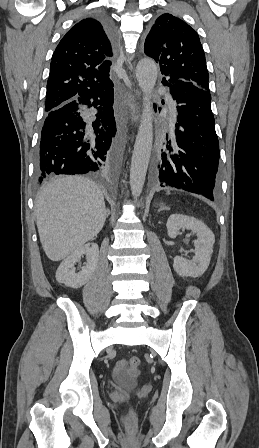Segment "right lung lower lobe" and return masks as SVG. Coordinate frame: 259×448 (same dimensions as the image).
<instances>
[{"label": "right lung lower lobe", "mask_w": 259, "mask_h": 448, "mask_svg": "<svg viewBox=\"0 0 259 448\" xmlns=\"http://www.w3.org/2000/svg\"><path fill=\"white\" fill-rule=\"evenodd\" d=\"M114 50L113 25L101 18ZM113 86L101 93L77 98L45 112L36 174L42 182L50 174L104 173L113 150L116 123Z\"/></svg>", "instance_id": "obj_1"}]
</instances>
